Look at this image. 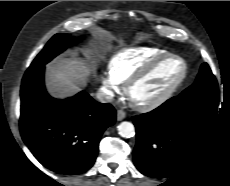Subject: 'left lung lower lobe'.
Returning a JSON list of instances; mask_svg holds the SVG:
<instances>
[{"label":"left lung lower lobe","instance_id":"0a47b994","mask_svg":"<svg viewBox=\"0 0 230 186\" xmlns=\"http://www.w3.org/2000/svg\"><path fill=\"white\" fill-rule=\"evenodd\" d=\"M218 90L175 96L134 116V164L144 175L172 177L201 149L215 124Z\"/></svg>","mask_w":230,"mask_h":186}]
</instances>
